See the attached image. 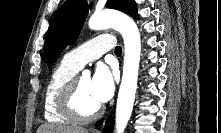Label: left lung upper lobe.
<instances>
[{
  "mask_svg": "<svg viewBox=\"0 0 221 133\" xmlns=\"http://www.w3.org/2000/svg\"><path fill=\"white\" fill-rule=\"evenodd\" d=\"M139 18L134 0H108L105 5ZM86 0H67L56 12L45 41L44 59L52 66L63 49L78 37L88 13Z\"/></svg>",
  "mask_w": 221,
  "mask_h": 133,
  "instance_id": "1",
  "label": "left lung upper lobe"
}]
</instances>
